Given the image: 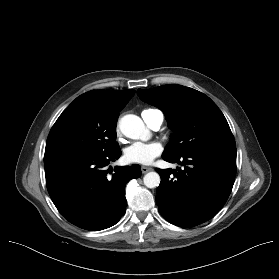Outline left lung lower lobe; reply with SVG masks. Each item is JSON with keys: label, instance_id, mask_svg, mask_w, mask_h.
<instances>
[{"label": "left lung lower lobe", "instance_id": "1", "mask_svg": "<svg viewBox=\"0 0 279 279\" xmlns=\"http://www.w3.org/2000/svg\"><path fill=\"white\" fill-rule=\"evenodd\" d=\"M163 159L184 168L156 169L161 177L156 203L172 224L193 227L214 217L224 206L236 175V148L209 147Z\"/></svg>", "mask_w": 279, "mask_h": 279}]
</instances>
